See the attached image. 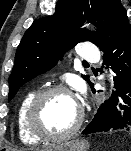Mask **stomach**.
<instances>
[{"mask_svg":"<svg viewBox=\"0 0 131 151\" xmlns=\"http://www.w3.org/2000/svg\"><path fill=\"white\" fill-rule=\"evenodd\" d=\"M89 143L86 140H69L57 144L45 151H88Z\"/></svg>","mask_w":131,"mask_h":151,"instance_id":"1","label":"stomach"}]
</instances>
